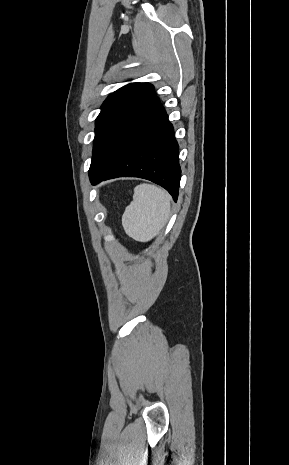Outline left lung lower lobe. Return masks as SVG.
I'll return each mask as SVG.
<instances>
[{
  "label": "left lung lower lobe",
  "instance_id": "1",
  "mask_svg": "<svg viewBox=\"0 0 289 465\" xmlns=\"http://www.w3.org/2000/svg\"><path fill=\"white\" fill-rule=\"evenodd\" d=\"M89 177L92 184L116 177L148 179L164 187L177 201L181 178L178 144L158 97L147 104Z\"/></svg>",
  "mask_w": 289,
  "mask_h": 465
}]
</instances>
